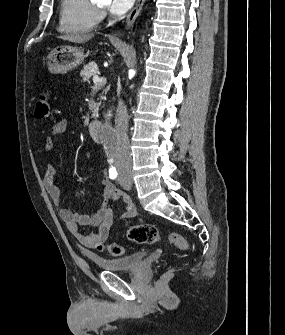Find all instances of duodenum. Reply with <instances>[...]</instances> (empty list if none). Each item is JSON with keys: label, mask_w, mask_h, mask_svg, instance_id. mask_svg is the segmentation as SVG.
Masks as SVG:
<instances>
[{"label": "duodenum", "mask_w": 285, "mask_h": 335, "mask_svg": "<svg viewBox=\"0 0 285 335\" xmlns=\"http://www.w3.org/2000/svg\"><path fill=\"white\" fill-rule=\"evenodd\" d=\"M88 131L92 139L97 142L101 140V124L97 121H91L88 125Z\"/></svg>", "instance_id": "duodenum-1"}]
</instances>
